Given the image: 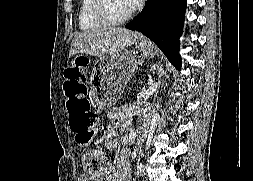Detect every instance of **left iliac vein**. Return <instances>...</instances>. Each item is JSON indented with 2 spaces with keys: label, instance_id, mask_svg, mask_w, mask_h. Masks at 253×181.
<instances>
[{
  "label": "left iliac vein",
  "instance_id": "left-iliac-vein-1",
  "mask_svg": "<svg viewBox=\"0 0 253 181\" xmlns=\"http://www.w3.org/2000/svg\"><path fill=\"white\" fill-rule=\"evenodd\" d=\"M143 181H148L147 179H144Z\"/></svg>",
  "mask_w": 253,
  "mask_h": 181
}]
</instances>
